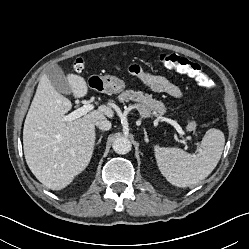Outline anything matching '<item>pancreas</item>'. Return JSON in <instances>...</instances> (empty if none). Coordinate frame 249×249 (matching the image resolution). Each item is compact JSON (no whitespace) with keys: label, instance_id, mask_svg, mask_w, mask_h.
<instances>
[{"label":"pancreas","instance_id":"1","mask_svg":"<svg viewBox=\"0 0 249 249\" xmlns=\"http://www.w3.org/2000/svg\"><path fill=\"white\" fill-rule=\"evenodd\" d=\"M118 99L121 103L137 102L136 106L144 117L154 113L163 115L166 112V107L161 101L155 100L151 95L144 94L141 91L126 90L119 95ZM188 127L189 130H194L195 123L191 122Z\"/></svg>","mask_w":249,"mask_h":249}]
</instances>
